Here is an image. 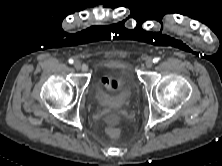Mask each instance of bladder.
<instances>
[{
	"mask_svg": "<svg viewBox=\"0 0 222 166\" xmlns=\"http://www.w3.org/2000/svg\"><path fill=\"white\" fill-rule=\"evenodd\" d=\"M123 64L117 66V69L122 70ZM134 85L128 81L116 94H108L96 84L94 98L96 103L104 108H122L128 105L132 99Z\"/></svg>",
	"mask_w": 222,
	"mask_h": 166,
	"instance_id": "bladder-1",
	"label": "bladder"
}]
</instances>
